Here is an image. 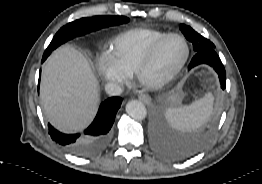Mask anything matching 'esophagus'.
I'll return each instance as SVG.
<instances>
[{"instance_id": "obj_1", "label": "esophagus", "mask_w": 262, "mask_h": 184, "mask_svg": "<svg viewBox=\"0 0 262 184\" xmlns=\"http://www.w3.org/2000/svg\"><path fill=\"white\" fill-rule=\"evenodd\" d=\"M138 99L143 102L146 105H149L151 103V97L147 94H141L138 96Z\"/></svg>"}]
</instances>
